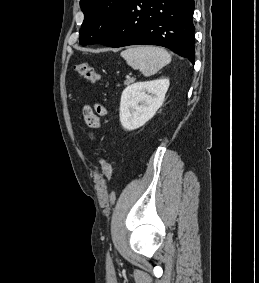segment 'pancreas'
I'll return each mask as SVG.
<instances>
[{
    "label": "pancreas",
    "instance_id": "pancreas-1",
    "mask_svg": "<svg viewBox=\"0 0 259 283\" xmlns=\"http://www.w3.org/2000/svg\"><path fill=\"white\" fill-rule=\"evenodd\" d=\"M135 81L134 78H127L125 81H124V85H130L131 83H133Z\"/></svg>",
    "mask_w": 259,
    "mask_h": 283
}]
</instances>
